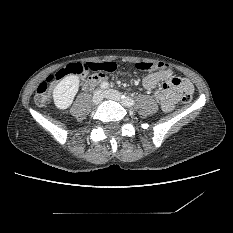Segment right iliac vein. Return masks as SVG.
<instances>
[{
	"instance_id": "1",
	"label": "right iliac vein",
	"mask_w": 233,
	"mask_h": 233,
	"mask_svg": "<svg viewBox=\"0 0 233 233\" xmlns=\"http://www.w3.org/2000/svg\"><path fill=\"white\" fill-rule=\"evenodd\" d=\"M103 100V92L101 90H97L92 97V103L94 105H98L99 103H101Z\"/></svg>"
}]
</instances>
